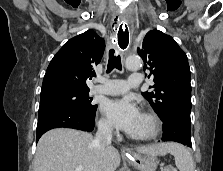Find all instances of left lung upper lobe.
<instances>
[{"label": "left lung upper lobe", "instance_id": "5c2ea615", "mask_svg": "<svg viewBox=\"0 0 223 171\" xmlns=\"http://www.w3.org/2000/svg\"><path fill=\"white\" fill-rule=\"evenodd\" d=\"M144 69L151 71L152 92L142 95L149 101L162 121L173 114L190 119L191 84L190 68L184 51L169 35L158 30L149 31L138 48Z\"/></svg>", "mask_w": 223, "mask_h": 171}]
</instances>
